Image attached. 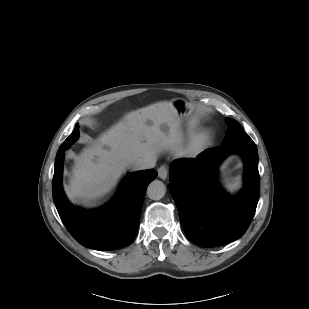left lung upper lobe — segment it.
I'll return each instance as SVG.
<instances>
[{
    "label": "left lung upper lobe",
    "mask_w": 309,
    "mask_h": 309,
    "mask_svg": "<svg viewBox=\"0 0 309 309\" xmlns=\"http://www.w3.org/2000/svg\"><path fill=\"white\" fill-rule=\"evenodd\" d=\"M228 131L222 142V146H229L240 142L252 141V139L245 133L241 125L227 117Z\"/></svg>",
    "instance_id": "left-lung-upper-lobe-1"
}]
</instances>
